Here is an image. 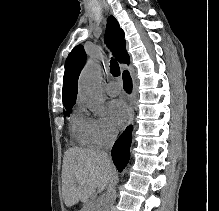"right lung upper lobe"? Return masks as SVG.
Returning a JSON list of instances; mask_svg holds the SVG:
<instances>
[{
	"instance_id": "1",
	"label": "right lung upper lobe",
	"mask_w": 219,
	"mask_h": 211,
	"mask_svg": "<svg viewBox=\"0 0 219 211\" xmlns=\"http://www.w3.org/2000/svg\"><path fill=\"white\" fill-rule=\"evenodd\" d=\"M106 36L108 37L107 43L111 45L117 60L120 63L128 62L129 55L126 52L124 32L113 16H109L107 19ZM85 61L86 53L81 45L74 47L67 57L62 90L64 105L75 103L76 101L78 92L77 81Z\"/></svg>"
}]
</instances>
